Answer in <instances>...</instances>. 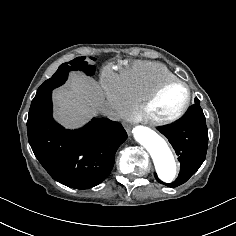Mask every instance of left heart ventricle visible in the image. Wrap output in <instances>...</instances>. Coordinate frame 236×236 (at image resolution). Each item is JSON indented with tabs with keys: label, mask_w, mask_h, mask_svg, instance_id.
Wrapping results in <instances>:
<instances>
[{
	"label": "left heart ventricle",
	"mask_w": 236,
	"mask_h": 236,
	"mask_svg": "<svg viewBox=\"0 0 236 236\" xmlns=\"http://www.w3.org/2000/svg\"><path fill=\"white\" fill-rule=\"evenodd\" d=\"M186 90L181 85L167 87L157 98L150 109V114L158 119H166L174 115L183 106Z\"/></svg>",
	"instance_id": "1"
}]
</instances>
